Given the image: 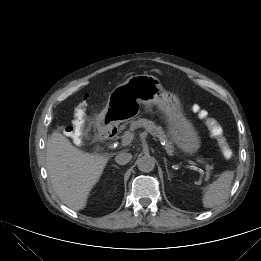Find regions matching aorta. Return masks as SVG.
<instances>
[{
    "instance_id": "762f6f07",
    "label": "aorta",
    "mask_w": 261,
    "mask_h": 261,
    "mask_svg": "<svg viewBox=\"0 0 261 261\" xmlns=\"http://www.w3.org/2000/svg\"><path fill=\"white\" fill-rule=\"evenodd\" d=\"M137 167L140 171L148 173L155 167V159L151 156H141L136 161Z\"/></svg>"
}]
</instances>
